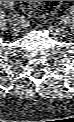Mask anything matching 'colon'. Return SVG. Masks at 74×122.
Instances as JSON below:
<instances>
[{"label":"colon","instance_id":"5ec220e1","mask_svg":"<svg viewBox=\"0 0 74 122\" xmlns=\"http://www.w3.org/2000/svg\"><path fill=\"white\" fill-rule=\"evenodd\" d=\"M60 1H24L23 8L26 13L33 16H42L56 9Z\"/></svg>","mask_w":74,"mask_h":122}]
</instances>
